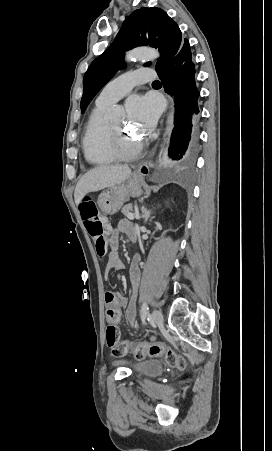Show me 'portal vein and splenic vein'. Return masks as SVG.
Returning <instances> with one entry per match:
<instances>
[{
	"label": "portal vein and splenic vein",
	"instance_id": "18ae733b",
	"mask_svg": "<svg viewBox=\"0 0 272 451\" xmlns=\"http://www.w3.org/2000/svg\"><path fill=\"white\" fill-rule=\"evenodd\" d=\"M127 218H129V220H134V214H128Z\"/></svg>",
	"mask_w": 272,
	"mask_h": 451
}]
</instances>
